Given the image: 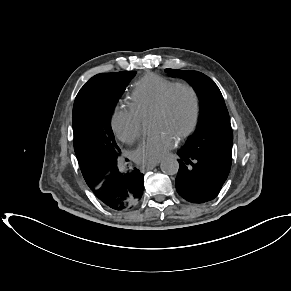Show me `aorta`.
<instances>
[{"mask_svg":"<svg viewBox=\"0 0 291 291\" xmlns=\"http://www.w3.org/2000/svg\"><path fill=\"white\" fill-rule=\"evenodd\" d=\"M160 168L162 172L168 175H174L178 172L179 163L174 158H166L161 162Z\"/></svg>","mask_w":291,"mask_h":291,"instance_id":"aorta-1","label":"aorta"}]
</instances>
